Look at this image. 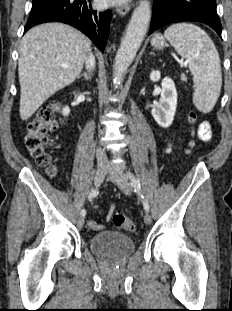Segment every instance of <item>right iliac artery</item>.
Returning a JSON list of instances; mask_svg holds the SVG:
<instances>
[{
    "mask_svg": "<svg viewBox=\"0 0 232 311\" xmlns=\"http://www.w3.org/2000/svg\"><path fill=\"white\" fill-rule=\"evenodd\" d=\"M99 194L98 189H92L91 192L89 193L88 199L91 201L93 198H95L97 195ZM86 215V210L83 209L81 211V216H85Z\"/></svg>",
    "mask_w": 232,
    "mask_h": 311,
    "instance_id": "1",
    "label": "right iliac artery"
}]
</instances>
